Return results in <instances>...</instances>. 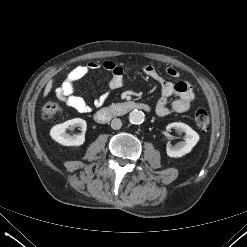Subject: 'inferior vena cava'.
Returning a JSON list of instances; mask_svg holds the SVG:
<instances>
[{
	"label": "inferior vena cava",
	"instance_id": "1",
	"mask_svg": "<svg viewBox=\"0 0 247 247\" xmlns=\"http://www.w3.org/2000/svg\"><path fill=\"white\" fill-rule=\"evenodd\" d=\"M122 127V121L119 118H114L111 121V128L114 130H118Z\"/></svg>",
	"mask_w": 247,
	"mask_h": 247
}]
</instances>
